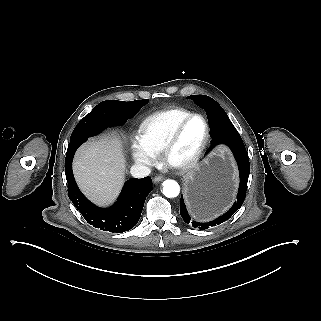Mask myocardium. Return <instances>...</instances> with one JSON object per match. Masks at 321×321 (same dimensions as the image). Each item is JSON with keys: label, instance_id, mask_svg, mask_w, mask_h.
I'll return each instance as SVG.
<instances>
[{"label": "myocardium", "instance_id": "1", "mask_svg": "<svg viewBox=\"0 0 321 321\" xmlns=\"http://www.w3.org/2000/svg\"><path fill=\"white\" fill-rule=\"evenodd\" d=\"M194 118H200L204 123L205 132H204L203 139L192 155H190L186 159H178L175 157V149H176V145H177L180 133L182 129L185 127V125ZM209 138H210V126L207 119L201 114L192 113L189 116L180 120L173 127L162 150L163 158L167 162V164L170 165L171 167H174L176 169H188L201 158V156L203 155L208 145Z\"/></svg>", "mask_w": 321, "mask_h": 321}]
</instances>
